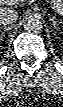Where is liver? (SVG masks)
<instances>
[{
    "mask_svg": "<svg viewBox=\"0 0 63 107\" xmlns=\"http://www.w3.org/2000/svg\"><path fill=\"white\" fill-rule=\"evenodd\" d=\"M1 4H5V2L4 1H1ZM3 8H1V10H2Z\"/></svg>",
    "mask_w": 63,
    "mask_h": 107,
    "instance_id": "liver-1",
    "label": "liver"
}]
</instances>
